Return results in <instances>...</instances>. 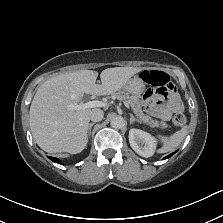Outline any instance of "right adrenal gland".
I'll return each mask as SVG.
<instances>
[{
	"instance_id": "1",
	"label": "right adrenal gland",
	"mask_w": 223,
	"mask_h": 223,
	"mask_svg": "<svg viewBox=\"0 0 223 223\" xmlns=\"http://www.w3.org/2000/svg\"><path fill=\"white\" fill-rule=\"evenodd\" d=\"M94 124H95V122H91V123L89 124L88 132H87V139H88V134H91V129H92V127H93Z\"/></svg>"
}]
</instances>
